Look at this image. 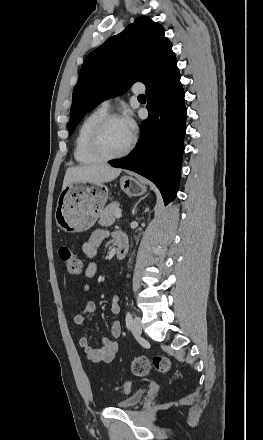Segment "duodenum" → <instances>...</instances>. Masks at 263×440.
Wrapping results in <instances>:
<instances>
[{
	"instance_id": "410a0bca",
	"label": "duodenum",
	"mask_w": 263,
	"mask_h": 440,
	"mask_svg": "<svg viewBox=\"0 0 263 440\" xmlns=\"http://www.w3.org/2000/svg\"><path fill=\"white\" fill-rule=\"evenodd\" d=\"M128 252V243L125 237L119 238L116 241V258L123 259Z\"/></svg>"
}]
</instances>
